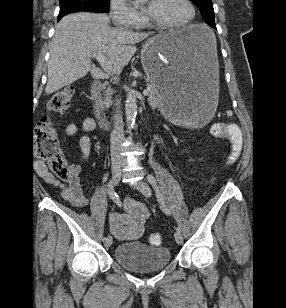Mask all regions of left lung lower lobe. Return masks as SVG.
I'll return each mask as SVG.
<instances>
[{
	"label": "left lung lower lobe",
	"mask_w": 286,
	"mask_h": 308,
	"mask_svg": "<svg viewBox=\"0 0 286 308\" xmlns=\"http://www.w3.org/2000/svg\"><path fill=\"white\" fill-rule=\"evenodd\" d=\"M210 26L213 27V28H216V25H215V24H211Z\"/></svg>",
	"instance_id": "left-lung-lower-lobe-1"
}]
</instances>
